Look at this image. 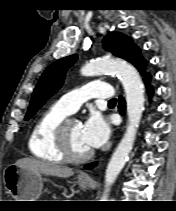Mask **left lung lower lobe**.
Wrapping results in <instances>:
<instances>
[{
	"label": "left lung lower lobe",
	"instance_id": "1",
	"mask_svg": "<svg viewBox=\"0 0 176 211\" xmlns=\"http://www.w3.org/2000/svg\"><path fill=\"white\" fill-rule=\"evenodd\" d=\"M144 80H145L146 83H148L149 80H150V77H145ZM147 89H148L149 95L151 96L152 93H153L152 86H147ZM119 101H120V103H119V111L121 112V114H124V111H125V102H124V99L120 96ZM95 165H96V163H92V164L86 165L85 168L86 169H91Z\"/></svg>",
	"mask_w": 176,
	"mask_h": 211
}]
</instances>
